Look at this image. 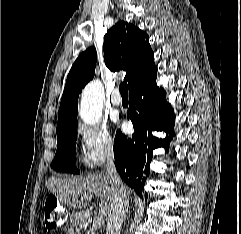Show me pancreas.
I'll return each instance as SVG.
<instances>
[{"mask_svg": "<svg viewBox=\"0 0 241 234\" xmlns=\"http://www.w3.org/2000/svg\"><path fill=\"white\" fill-rule=\"evenodd\" d=\"M86 234H98V230L97 228L92 227L86 231Z\"/></svg>", "mask_w": 241, "mask_h": 234, "instance_id": "obj_1", "label": "pancreas"}]
</instances>
